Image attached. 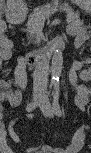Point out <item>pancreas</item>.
Segmentation results:
<instances>
[{
	"label": "pancreas",
	"mask_w": 91,
	"mask_h": 153,
	"mask_svg": "<svg viewBox=\"0 0 91 153\" xmlns=\"http://www.w3.org/2000/svg\"><path fill=\"white\" fill-rule=\"evenodd\" d=\"M64 9L67 11V20L72 29L80 27L82 21L79 19V16L74 14L68 7H64ZM54 11H56V8L51 7V5L38 7L34 10V12L29 16L27 23L28 32L32 37L41 33L45 18Z\"/></svg>",
	"instance_id": "obj_1"
}]
</instances>
